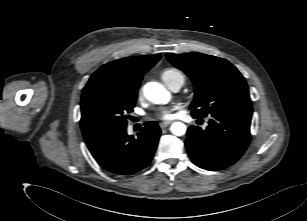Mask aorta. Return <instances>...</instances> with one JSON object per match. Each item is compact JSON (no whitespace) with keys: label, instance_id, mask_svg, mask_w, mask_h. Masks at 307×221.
Masks as SVG:
<instances>
[{"label":"aorta","instance_id":"aorta-1","mask_svg":"<svg viewBox=\"0 0 307 221\" xmlns=\"http://www.w3.org/2000/svg\"><path fill=\"white\" fill-rule=\"evenodd\" d=\"M145 97L154 104H167L170 101V92L163 85L157 82H148L143 88ZM186 125L182 122H174L170 130L176 136L186 133Z\"/></svg>","mask_w":307,"mask_h":221}]
</instances>
